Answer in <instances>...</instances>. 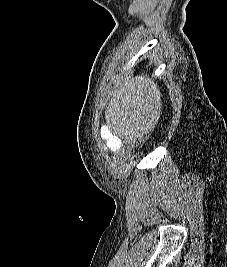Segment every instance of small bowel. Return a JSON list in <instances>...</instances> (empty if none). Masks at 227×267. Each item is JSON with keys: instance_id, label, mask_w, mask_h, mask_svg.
I'll return each mask as SVG.
<instances>
[{"instance_id": "obj_1", "label": "small bowel", "mask_w": 227, "mask_h": 267, "mask_svg": "<svg viewBox=\"0 0 227 267\" xmlns=\"http://www.w3.org/2000/svg\"><path fill=\"white\" fill-rule=\"evenodd\" d=\"M122 147V141L115 135L107 134L106 144L104 145V150H119Z\"/></svg>"}]
</instances>
